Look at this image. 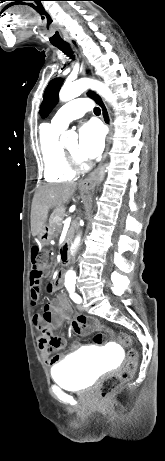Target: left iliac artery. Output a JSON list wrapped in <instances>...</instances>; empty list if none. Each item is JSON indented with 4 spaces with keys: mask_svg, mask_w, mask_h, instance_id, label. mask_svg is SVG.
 <instances>
[{
    "mask_svg": "<svg viewBox=\"0 0 165 461\" xmlns=\"http://www.w3.org/2000/svg\"><path fill=\"white\" fill-rule=\"evenodd\" d=\"M69 293H70V297L72 298V300L75 302V303H80L82 300H81V297L79 295H77L76 293H74V286H71V287H67Z\"/></svg>",
    "mask_w": 165,
    "mask_h": 461,
    "instance_id": "left-iliac-artery-1",
    "label": "left iliac artery"
}]
</instances>
